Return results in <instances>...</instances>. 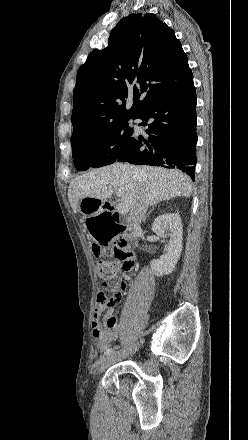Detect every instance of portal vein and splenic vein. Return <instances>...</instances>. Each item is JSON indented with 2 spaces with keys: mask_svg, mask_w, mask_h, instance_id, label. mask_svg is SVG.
I'll list each match as a JSON object with an SVG mask.
<instances>
[{
  "mask_svg": "<svg viewBox=\"0 0 248 440\" xmlns=\"http://www.w3.org/2000/svg\"><path fill=\"white\" fill-rule=\"evenodd\" d=\"M115 191H116L117 195L119 196L120 191H119L118 189H116V188H115ZM117 209H118V211H120L121 213H127V212H128L126 206H125L123 203H119V204L117 205Z\"/></svg>",
  "mask_w": 248,
  "mask_h": 440,
  "instance_id": "obj_1",
  "label": "portal vein and splenic vein"
}]
</instances>
